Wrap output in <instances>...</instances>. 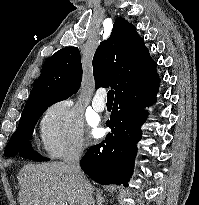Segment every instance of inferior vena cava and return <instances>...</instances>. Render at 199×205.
<instances>
[{
	"instance_id": "1",
	"label": "inferior vena cava",
	"mask_w": 199,
	"mask_h": 205,
	"mask_svg": "<svg viewBox=\"0 0 199 205\" xmlns=\"http://www.w3.org/2000/svg\"><path fill=\"white\" fill-rule=\"evenodd\" d=\"M82 155V148H77L68 152L65 157V162L71 170L72 174L82 183L85 178L80 168V157ZM89 192V188H86Z\"/></svg>"
}]
</instances>
